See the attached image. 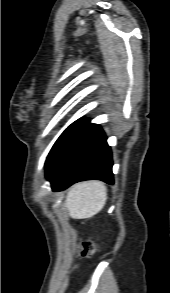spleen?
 I'll use <instances>...</instances> for the list:
<instances>
[{
	"instance_id": "1",
	"label": "spleen",
	"mask_w": 170,
	"mask_h": 293,
	"mask_svg": "<svg viewBox=\"0 0 170 293\" xmlns=\"http://www.w3.org/2000/svg\"><path fill=\"white\" fill-rule=\"evenodd\" d=\"M106 200L107 188L102 182H81L69 189L65 207L72 218H91L102 210Z\"/></svg>"
}]
</instances>
